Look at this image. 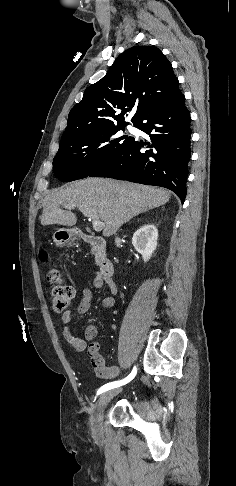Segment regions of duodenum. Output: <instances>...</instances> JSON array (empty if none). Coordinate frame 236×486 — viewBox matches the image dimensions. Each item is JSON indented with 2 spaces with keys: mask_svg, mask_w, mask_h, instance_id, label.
Returning <instances> with one entry per match:
<instances>
[{
  "mask_svg": "<svg viewBox=\"0 0 236 486\" xmlns=\"http://www.w3.org/2000/svg\"><path fill=\"white\" fill-rule=\"evenodd\" d=\"M78 236L94 251L98 261L100 275L104 279H111L114 273V266L111 260L107 257L105 240L101 237L90 235L84 232H79Z\"/></svg>",
  "mask_w": 236,
  "mask_h": 486,
  "instance_id": "duodenum-1",
  "label": "duodenum"
}]
</instances>
